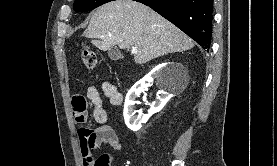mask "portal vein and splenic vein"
Instances as JSON below:
<instances>
[{
    "mask_svg": "<svg viewBox=\"0 0 277 166\" xmlns=\"http://www.w3.org/2000/svg\"><path fill=\"white\" fill-rule=\"evenodd\" d=\"M131 52H132V54H137L138 53L137 49L134 48V47L132 48Z\"/></svg>",
    "mask_w": 277,
    "mask_h": 166,
    "instance_id": "1",
    "label": "portal vein and splenic vein"
}]
</instances>
